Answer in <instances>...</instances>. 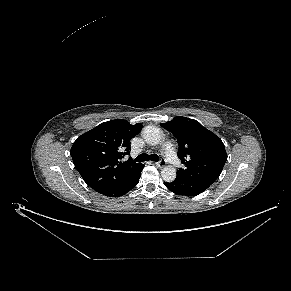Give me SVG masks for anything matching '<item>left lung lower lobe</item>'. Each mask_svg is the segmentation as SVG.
Masks as SVG:
<instances>
[{"label":"left lung lower lobe","instance_id":"left-lung-lower-lobe-1","mask_svg":"<svg viewBox=\"0 0 291 291\" xmlns=\"http://www.w3.org/2000/svg\"><path fill=\"white\" fill-rule=\"evenodd\" d=\"M214 181L213 179L189 180L177 175L174 181L164 182V185L175 194L196 196L204 192Z\"/></svg>","mask_w":291,"mask_h":291}]
</instances>
